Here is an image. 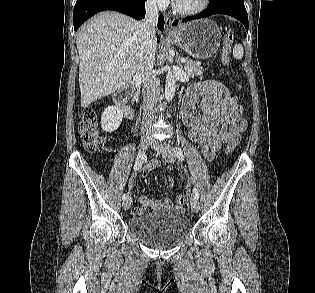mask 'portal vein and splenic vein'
I'll use <instances>...</instances> for the list:
<instances>
[{"label": "portal vein and splenic vein", "instance_id": "portal-vein-and-splenic-vein-1", "mask_svg": "<svg viewBox=\"0 0 315 293\" xmlns=\"http://www.w3.org/2000/svg\"><path fill=\"white\" fill-rule=\"evenodd\" d=\"M180 62H181V63H185V62H186V59H185V58H181V59H180ZM124 66H127V65L125 64Z\"/></svg>", "mask_w": 315, "mask_h": 293}]
</instances>
